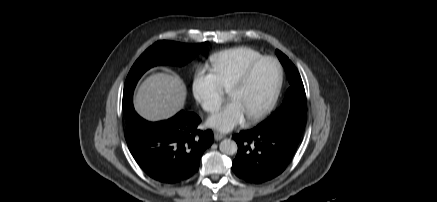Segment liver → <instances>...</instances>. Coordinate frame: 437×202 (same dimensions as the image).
<instances>
[{
    "label": "liver",
    "instance_id": "obj_1",
    "mask_svg": "<svg viewBox=\"0 0 437 202\" xmlns=\"http://www.w3.org/2000/svg\"><path fill=\"white\" fill-rule=\"evenodd\" d=\"M186 99V87L175 75L156 73L145 79L134 97L135 110L149 121L165 120L175 115Z\"/></svg>",
    "mask_w": 437,
    "mask_h": 202
}]
</instances>
